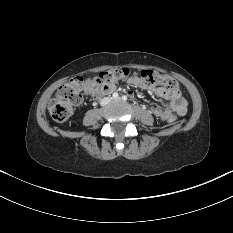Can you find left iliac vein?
Wrapping results in <instances>:
<instances>
[{
	"label": "left iliac vein",
	"mask_w": 233,
	"mask_h": 233,
	"mask_svg": "<svg viewBox=\"0 0 233 233\" xmlns=\"http://www.w3.org/2000/svg\"><path fill=\"white\" fill-rule=\"evenodd\" d=\"M114 100H115V101H120V100H121V98H120V97H118V98H115Z\"/></svg>",
	"instance_id": "obj_1"
}]
</instances>
